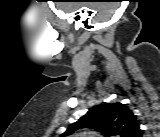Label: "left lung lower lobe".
<instances>
[{
  "instance_id": "obj_1",
  "label": "left lung lower lobe",
  "mask_w": 160,
  "mask_h": 137,
  "mask_svg": "<svg viewBox=\"0 0 160 137\" xmlns=\"http://www.w3.org/2000/svg\"><path fill=\"white\" fill-rule=\"evenodd\" d=\"M131 137H141V130L139 127L132 133Z\"/></svg>"
}]
</instances>
